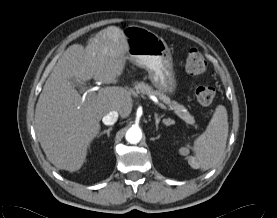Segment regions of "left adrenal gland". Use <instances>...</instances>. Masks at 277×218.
<instances>
[{
    "instance_id": "a2214340",
    "label": "left adrenal gland",
    "mask_w": 277,
    "mask_h": 218,
    "mask_svg": "<svg viewBox=\"0 0 277 218\" xmlns=\"http://www.w3.org/2000/svg\"><path fill=\"white\" fill-rule=\"evenodd\" d=\"M154 116H155L156 130H158V125H159V122L161 121V119L163 118V115H162V116H158V114L155 113ZM163 122H164L166 125H169L170 119H164Z\"/></svg>"
}]
</instances>
